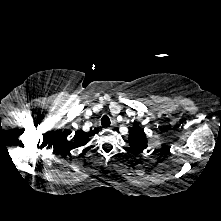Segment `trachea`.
<instances>
[{
	"mask_svg": "<svg viewBox=\"0 0 221 221\" xmlns=\"http://www.w3.org/2000/svg\"><path fill=\"white\" fill-rule=\"evenodd\" d=\"M110 124H111V122H110L109 117H108L107 115H104V116L102 117V119H101V125H102L103 127H109Z\"/></svg>",
	"mask_w": 221,
	"mask_h": 221,
	"instance_id": "1",
	"label": "trachea"
}]
</instances>
